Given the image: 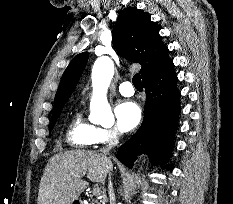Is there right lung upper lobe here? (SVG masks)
<instances>
[{
	"mask_svg": "<svg viewBox=\"0 0 233 204\" xmlns=\"http://www.w3.org/2000/svg\"><path fill=\"white\" fill-rule=\"evenodd\" d=\"M116 50L129 61L141 64L142 79L172 63L168 48L162 42L158 27L150 16L137 8H126L118 16L112 33ZM88 60V53L77 55L60 81L52 118L59 116L72 94ZM51 118V119H52Z\"/></svg>",
	"mask_w": 233,
	"mask_h": 204,
	"instance_id": "obj_1",
	"label": "right lung upper lobe"
}]
</instances>
